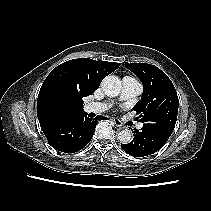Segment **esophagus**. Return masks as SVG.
I'll list each match as a JSON object with an SVG mask.
<instances>
[{
	"label": "esophagus",
	"mask_w": 211,
	"mask_h": 211,
	"mask_svg": "<svg viewBox=\"0 0 211 211\" xmlns=\"http://www.w3.org/2000/svg\"><path fill=\"white\" fill-rule=\"evenodd\" d=\"M112 123L116 126V127H118V128H123V124H122V122L120 121V120H118V119H112Z\"/></svg>",
	"instance_id": "1"
}]
</instances>
